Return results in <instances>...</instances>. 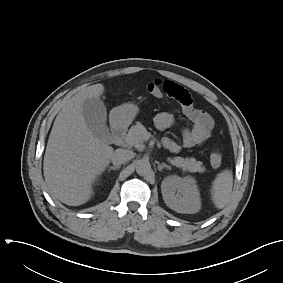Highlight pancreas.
<instances>
[{
	"mask_svg": "<svg viewBox=\"0 0 283 283\" xmlns=\"http://www.w3.org/2000/svg\"><path fill=\"white\" fill-rule=\"evenodd\" d=\"M146 132V128L140 122L136 123V125L130 128L124 140V145L127 147H135L138 150H143L145 148L144 140ZM168 160L172 165L181 167L189 172H204L206 170L203 166V163L201 161H196V159L193 157L182 158L178 156L174 158H168Z\"/></svg>",
	"mask_w": 283,
	"mask_h": 283,
	"instance_id": "pancreas-1",
	"label": "pancreas"
}]
</instances>
